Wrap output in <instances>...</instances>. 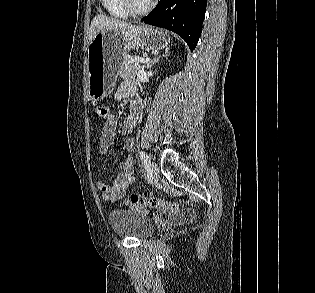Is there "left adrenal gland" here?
I'll return each mask as SVG.
<instances>
[{"label":"left adrenal gland","mask_w":315,"mask_h":293,"mask_svg":"<svg viewBox=\"0 0 315 293\" xmlns=\"http://www.w3.org/2000/svg\"><path fill=\"white\" fill-rule=\"evenodd\" d=\"M168 56V50L165 51V54L163 55H157L155 56L150 62L146 63L143 67H145L146 69H150L153 65H155L156 63H158V61L163 58V57H167Z\"/></svg>","instance_id":"left-adrenal-gland-1"}]
</instances>
